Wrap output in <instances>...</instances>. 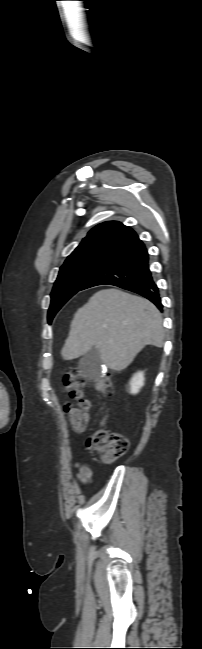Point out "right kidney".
<instances>
[{
  "label": "right kidney",
  "instance_id": "obj_1",
  "mask_svg": "<svg viewBox=\"0 0 202 649\" xmlns=\"http://www.w3.org/2000/svg\"><path fill=\"white\" fill-rule=\"evenodd\" d=\"M144 385V373L137 372L130 381L131 394H137Z\"/></svg>",
  "mask_w": 202,
  "mask_h": 649
}]
</instances>
